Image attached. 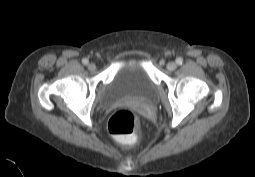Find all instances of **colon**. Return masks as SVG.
Wrapping results in <instances>:
<instances>
[{"mask_svg": "<svg viewBox=\"0 0 255 177\" xmlns=\"http://www.w3.org/2000/svg\"><path fill=\"white\" fill-rule=\"evenodd\" d=\"M140 128L137 115L127 109L115 112L108 122L109 132L124 143H131L136 138Z\"/></svg>", "mask_w": 255, "mask_h": 177, "instance_id": "obj_1", "label": "colon"}]
</instances>
